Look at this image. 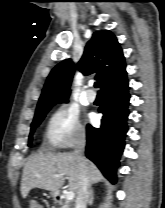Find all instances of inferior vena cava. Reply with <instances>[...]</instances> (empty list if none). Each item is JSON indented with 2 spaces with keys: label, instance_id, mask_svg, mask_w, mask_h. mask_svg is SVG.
<instances>
[{
  "label": "inferior vena cava",
  "instance_id": "602c4592",
  "mask_svg": "<svg viewBox=\"0 0 165 208\" xmlns=\"http://www.w3.org/2000/svg\"><path fill=\"white\" fill-rule=\"evenodd\" d=\"M85 144V136L82 135L79 137L73 152L80 168V189L76 197L75 208H86L90 197V182L87 176L86 166L83 163Z\"/></svg>",
  "mask_w": 165,
  "mask_h": 208
}]
</instances>
